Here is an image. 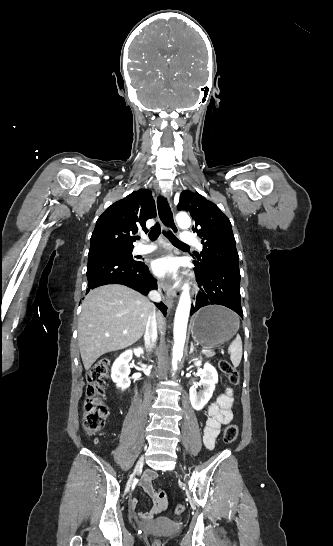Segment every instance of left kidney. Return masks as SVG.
I'll return each instance as SVG.
<instances>
[{
	"instance_id": "1",
	"label": "left kidney",
	"mask_w": 333,
	"mask_h": 546,
	"mask_svg": "<svg viewBox=\"0 0 333 546\" xmlns=\"http://www.w3.org/2000/svg\"><path fill=\"white\" fill-rule=\"evenodd\" d=\"M202 361L195 359L194 365L201 366ZM218 383V374L216 369L208 362L204 364V367L200 375V385L203 387V392L197 393L196 388L192 386L189 390V397L192 407L199 411L207 404L212 397L215 390V384Z\"/></svg>"
}]
</instances>
